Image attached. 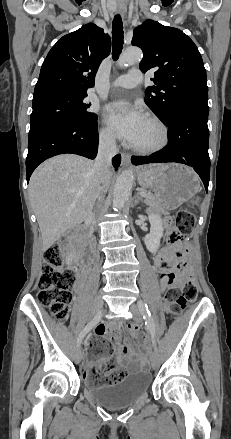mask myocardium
Returning <instances> with one entry per match:
<instances>
[{"label": "myocardium", "mask_w": 231, "mask_h": 439, "mask_svg": "<svg viewBox=\"0 0 231 439\" xmlns=\"http://www.w3.org/2000/svg\"><path fill=\"white\" fill-rule=\"evenodd\" d=\"M147 120L158 128L160 138L155 144L149 146L132 145L131 148L135 152L140 154H153L159 152L164 149L169 143V129L167 125L163 122V120L160 119L158 116L152 114L147 116Z\"/></svg>", "instance_id": "f54148a6"}]
</instances>
